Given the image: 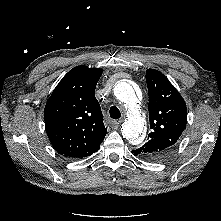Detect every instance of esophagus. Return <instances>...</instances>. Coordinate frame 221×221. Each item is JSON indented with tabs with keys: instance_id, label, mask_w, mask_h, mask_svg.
<instances>
[{
	"instance_id": "34e87169",
	"label": "esophagus",
	"mask_w": 221,
	"mask_h": 221,
	"mask_svg": "<svg viewBox=\"0 0 221 221\" xmlns=\"http://www.w3.org/2000/svg\"><path fill=\"white\" fill-rule=\"evenodd\" d=\"M122 119L112 121V126L118 127L122 123Z\"/></svg>"
}]
</instances>
